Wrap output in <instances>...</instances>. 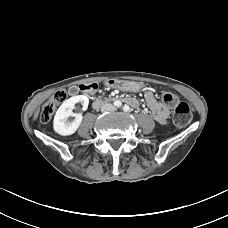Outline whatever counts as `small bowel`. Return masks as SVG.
<instances>
[{
	"label": "small bowel",
	"mask_w": 228,
	"mask_h": 228,
	"mask_svg": "<svg viewBox=\"0 0 228 228\" xmlns=\"http://www.w3.org/2000/svg\"><path fill=\"white\" fill-rule=\"evenodd\" d=\"M108 86L110 87H114V88H118L120 90H131L133 89V85L129 82H124V81H115V80H111L108 83ZM143 96L144 99L148 105V107L150 108L154 119L159 122L162 125H165L167 123V118L169 115V109L168 107L159 102L153 92L149 89H145L143 91ZM132 102L129 103L130 105L136 107L138 105V101L136 99L133 98H129Z\"/></svg>",
	"instance_id": "c3829d8e"
}]
</instances>
